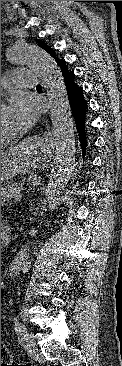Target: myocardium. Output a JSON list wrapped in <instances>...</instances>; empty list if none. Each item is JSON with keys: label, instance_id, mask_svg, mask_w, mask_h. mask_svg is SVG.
<instances>
[{"label": "myocardium", "instance_id": "1", "mask_svg": "<svg viewBox=\"0 0 122 366\" xmlns=\"http://www.w3.org/2000/svg\"><path fill=\"white\" fill-rule=\"evenodd\" d=\"M4 103L1 101V107H4ZM14 135L11 134V135H3L1 134V143H7V142H10V141H13L14 140Z\"/></svg>", "mask_w": 122, "mask_h": 366}]
</instances>
